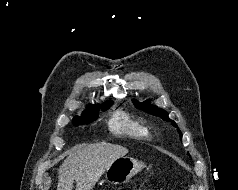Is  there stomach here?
Here are the masks:
<instances>
[{
    "instance_id": "obj_1",
    "label": "stomach",
    "mask_w": 238,
    "mask_h": 190,
    "mask_svg": "<svg viewBox=\"0 0 238 190\" xmlns=\"http://www.w3.org/2000/svg\"><path fill=\"white\" fill-rule=\"evenodd\" d=\"M143 167L142 162L132 157H121L106 169L105 178L110 184H122L129 181Z\"/></svg>"
}]
</instances>
